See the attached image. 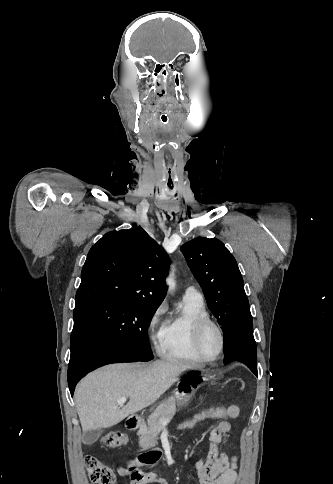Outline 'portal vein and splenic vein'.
Listing matches in <instances>:
<instances>
[{"label":"portal vein and splenic vein","mask_w":333,"mask_h":484,"mask_svg":"<svg viewBox=\"0 0 333 484\" xmlns=\"http://www.w3.org/2000/svg\"><path fill=\"white\" fill-rule=\"evenodd\" d=\"M127 401V397H121L117 400L118 405H123ZM170 422V420H164L162 424L165 426Z\"/></svg>","instance_id":"18ae733b"}]
</instances>
